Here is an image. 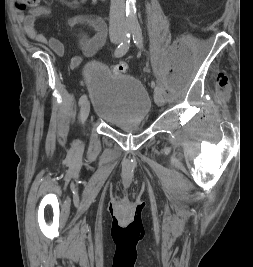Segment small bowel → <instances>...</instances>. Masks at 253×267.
Listing matches in <instances>:
<instances>
[{
	"mask_svg": "<svg viewBox=\"0 0 253 267\" xmlns=\"http://www.w3.org/2000/svg\"><path fill=\"white\" fill-rule=\"evenodd\" d=\"M97 1L61 0L64 5L75 9L85 6L87 3H96ZM49 14L50 10L43 6L32 10L23 17V30L29 39L48 46L56 55L62 56L64 54L63 43L56 37L40 33L36 28V19L48 16ZM68 24L74 31L76 43L80 50V54L72 59V65L77 66L84 58L93 55L104 43L107 36V26L99 16L86 13L74 15L69 19ZM86 28L92 29L93 34H89Z\"/></svg>",
	"mask_w": 253,
	"mask_h": 267,
	"instance_id": "obj_1",
	"label": "small bowel"
}]
</instances>
